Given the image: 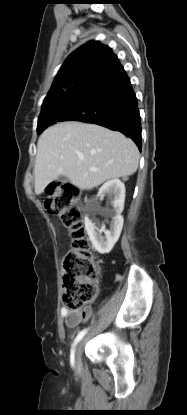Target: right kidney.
<instances>
[{"mask_svg":"<svg viewBox=\"0 0 187 415\" xmlns=\"http://www.w3.org/2000/svg\"><path fill=\"white\" fill-rule=\"evenodd\" d=\"M105 196L111 200L113 209L102 210L99 205H94L93 208L96 212H99L103 216L110 217L112 219L109 230H106L105 226H102L100 229H98L95 226L93 220L90 219V215H86L85 217V229L88 233L93 247L100 254L109 253L120 237L124 222V219L121 216V213L124 209L125 200L124 183L116 178L104 183L99 189L97 197L102 200ZM102 232L105 234V236H102Z\"/></svg>","mask_w":187,"mask_h":415,"instance_id":"right-kidney-1","label":"right kidney"}]
</instances>
